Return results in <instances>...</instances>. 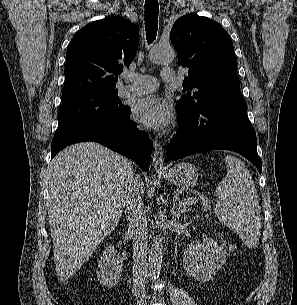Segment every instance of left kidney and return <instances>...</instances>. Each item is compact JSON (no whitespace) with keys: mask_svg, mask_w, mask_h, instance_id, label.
I'll use <instances>...</instances> for the list:
<instances>
[{"mask_svg":"<svg viewBox=\"0 0 297 305\" xmlns=\"http://www.w3.org/2000/svg\"><path fill=\"white\" fill-rule=\"evenodd\" d=\"M226 263V255L216 241L203 234L202 242L187 245L183 266L193 278L207 282Z\"/></svg>","mask_w":297,"mask_h":305,"instance_id":"left-kidney-1","label":"left kidney"}]
</instances>
